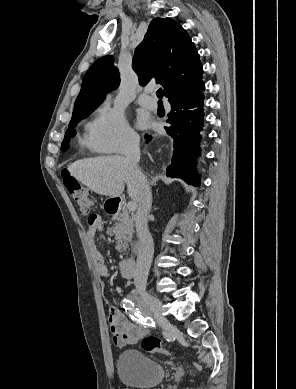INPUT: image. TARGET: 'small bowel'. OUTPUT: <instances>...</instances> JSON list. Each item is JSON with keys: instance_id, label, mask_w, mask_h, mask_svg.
<instances>
[{"instance_id": "c3829d8e", "label": "small bowel", "mask_w": 296, "mask_h": 389, "mask_svg": "<svg viewBox=\"0 0 296 389\" xmlns=\"http://www.w3.org/2000/svg\"><path fill=\"white\" fill-rule=\"evenodd\" d=\"M101 229L102 220L100 215H92L89 219V229L87 232L88 243L100 276L107 277L108 269L95 244V236L101 231ZM108 321L113 335V341L118 346L136 344L147 334L146 325L130 322L124 312L116 307H112L110 309Z\"/></svg>"}]
</instances>
